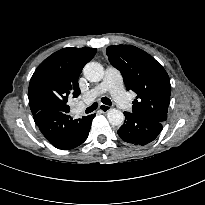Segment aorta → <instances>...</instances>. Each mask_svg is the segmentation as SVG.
Returning a JSON list of instances; mask_svg holds the SVG:
<instances>
[{
    "label": "aorta",
    "instance_id": "aorta-1",
    "mask_svg": "<svg viewBox=\"0 0 205 205\" xmlns=\"http://www.w3.org/2000/svg\"><path fill=\"white\" fill-rule=\"evenodd\" d=\"M85 78L90 82H99L103 79L104 68L100 63L89 62L83 69ZM124 114L118 109H110L107 112V119L111 125L119 126L124 122Z\"/></svg>",
    "mask_w": 205,
    "mask_h": 205
}]
</instances>
